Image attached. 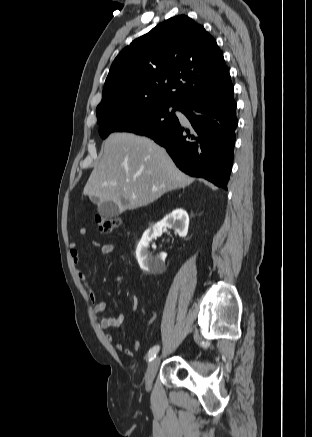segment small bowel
Returning <instances> with one entry per match:
<instances>
[{"mask_svg": "<svg viewBox=\"0 0 312 437\" xmlns=\"http://www.w3.org/2000/svg\"><path fill=\"white\" fill-rule=\"evenodd\" d=\"M78 233L80 236H85L86 229L81 228ZM93 245L96 247H99L100 253L104 256L110 255L116 250L115 245H113L111 243L101 244L98 241H94ZM69 248H70V257H71L73 263L75 265H78L80 262V252L77 248V244L75 242H71L69 245ZM77 275L80 278V280H82L84 282V284L87 288L88 296H89L90 301L94 305L95 313H103L106 309V304L102 301L97 300V294L88 284L87 278H86V275L84 274V272L78 269ZM124 319H125V317L123 314H118L116 316H103L100 319V327L103 330H107V329L114 328V327H119L123 324ZM105 339L108 343L114 342V336L111 333H107L105 335ZM138 347H139V343L137 341H135L133 346L130 348L125 347L122 343L115 344V348L117 350L124 352L126 355H128L130 357L135 355V352H136Z\"/></svg>", "mask_w": 312, "mask_h": 437, "instance_id": "small-bowel-1", "label": "small bowel"}]
</instances>
